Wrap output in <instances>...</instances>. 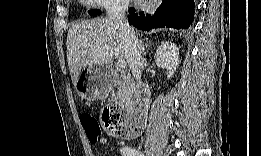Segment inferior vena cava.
<instances>
[{"mask_svg": "<svg viewBox=\"0 0 261 156\" xmlns=\"http://www.w3.org/2000/svg\"><path fill=\"white\" fill-rule=\"evenodd\" d=\"M128 8V1L112 0L106 7L108 18L112 25L119 31L125 39L126 59L136 81L141 80V69L143 67V58L141 55V46L135 36L134 30L127 22L125 12Z\"/></svg>", "mask_w": 261, "mask_h": 156, "instance_id": "602c4592", "label": "inferior vena cava"}]
</instances>
